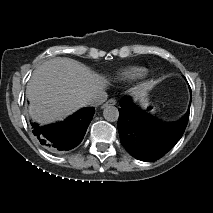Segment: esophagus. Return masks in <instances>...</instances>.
<instances>
[{
	"label": "esophagus",
	"instance_id": "34e87169",
	"mask_svg": "<svg viewBox=\"0 0 213 213\" xmlns=\"http://www.w3.org/2000/svg\"><path fill=\"white\" fill-rule=\"evenodd\" d=\"M115 104H116V100L115 99H110L102 107L104 108L106 105H115Z\"/></svg>",
	"mask_w": 213,
	"mask_h": 213
}]
</instances>
